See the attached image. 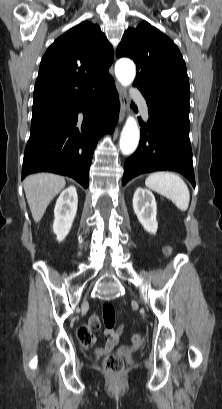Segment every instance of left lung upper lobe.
<instances>
[{"label": "left lung upper lobe", "mask_w": 222, "mask_h": 409, "mask_svg": "<svg viewBox=\"0 0 222 409\" xmlns=\"http://www.w3.org/2000/svg\"><path fill=\"white\" fill-rule=\"evenodd\" d=\"M116 56L130 57L137 64L134 81L147 103L182 100L189 107V79L182 55L166 35L146 21L128 28Z\"/></svg>", "instance_id": "1"}]
</instances>
